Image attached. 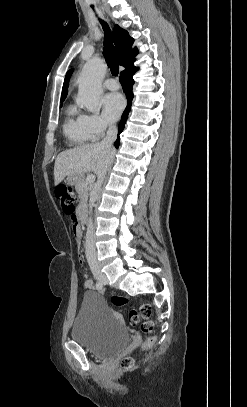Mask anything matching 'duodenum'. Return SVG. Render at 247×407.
I'll use <instances>...</instances> for the list:
<instances>
[{
	"label": "duodenum",
	"instance_id": "1",
	"mask_svg": "<svg viewBox=\"0 0 247 407\" xmlns=\"http://www.w3.org/2000/svg\"><path fill=\"white\" fill-rule=\"evenodd\" d=\"M86 214H87L86 208H85L84 206H81V207L79 208V210H78V213H77V220H78L77 222H79L80 225L85 222V220H86Z\"/></svg>",
	"mask_w": 247,
	"mask_h": 407
}]
</instances>
